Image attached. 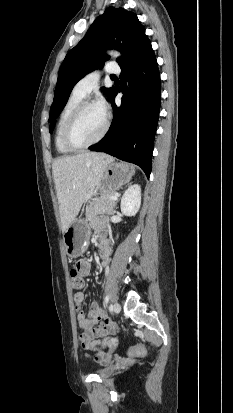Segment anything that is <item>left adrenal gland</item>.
<instances>
[{"mask_svg":"<svg viewBox=\"0 0 233 413\" xmlns=\"http://www.w3.org/2000/svg\"><path fill=\"white\" fill-rule=\"evenodd\" d=\"M117 202H118V200L115 202L114 208L116 207Z\"/></svg>","mask_w":233,"mask_h":413,"instance_id":"a2214340","label":"left adrenal gland"}]
</instances>
